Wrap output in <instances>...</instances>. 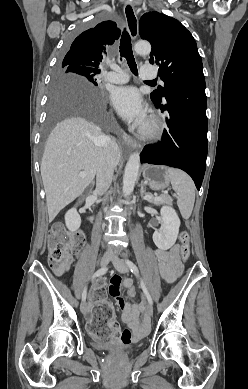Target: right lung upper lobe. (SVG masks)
<instances>
[{
	"label": "right lung upper lobe",
	"instance_id": "cb5924a9",
	"mask_svg": "<svg viewBox=\"0 0 248 389\" xmlns=\"http://www.w3.org/2000/svg\"><path fill=\"white\" fill-rule=\"evenodd\" d=\"M120 32L113 21L101 22L84 31L72 43L63 64L97 70L100 73L103 54L119 38Z\"/></svg>",
	"mask_w": 248,
	"mask_h": 389
}]
</instances>
